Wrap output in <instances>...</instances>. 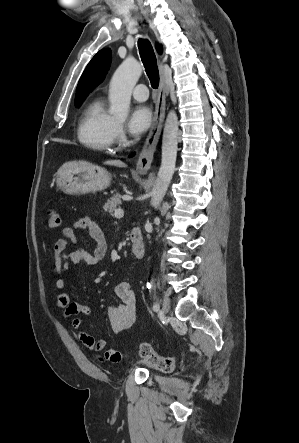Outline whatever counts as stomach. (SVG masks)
<instances>
[{
  "label": "stomach",
  "mask_w": 299,
  "mask_h": 443,
  "mask_svg": "<svg viewBox=\"0 0 299 443\" xmlns=\"http://www.w3.org/2000/svg\"><path fill=\"white\" fill-rule=\"evenodd\" d=\"M110 173L86 162H69L57 172L58 188L69 195H80L105 190L110 186Z\"/></svg>",
  "instance_id": "0dacf381"
}]
</instances>
